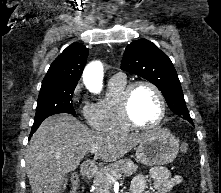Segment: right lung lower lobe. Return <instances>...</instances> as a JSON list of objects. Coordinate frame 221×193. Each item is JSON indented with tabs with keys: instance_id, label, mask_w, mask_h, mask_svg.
<instances>
[{
	"instance_id": "98d812e1",
	"label": "right lung lower lobe",
	"mask_w": 221,
	"mask_h": 193,
	"mask_svg": "<svg viewBox=\"0 0 221 193\" xmlns=\"http://www.w3.org/2000/svg\"><path fill=\"white\" fill-rule=\"evenodd\" d=\"M41 123H42V121L36 122V123L33 124L32 130H31V133H30V137H31L32 134L38 129V127L40 126Z\"/></svg>"
}]
</instances>
